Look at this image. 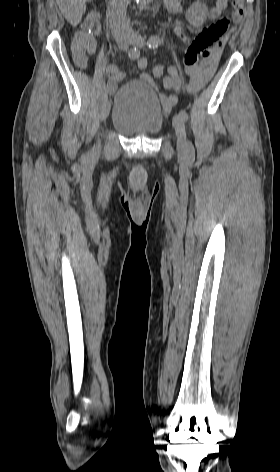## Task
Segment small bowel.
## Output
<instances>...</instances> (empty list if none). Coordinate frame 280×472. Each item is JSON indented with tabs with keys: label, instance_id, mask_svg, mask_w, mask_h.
Returning a JSON list of instances; mask_svg holds the SVG:
<instances>
[{
	"label": "small bowel",
	"instance_id": "obj_1",
	"mask_svg": "<svg viewBox=\"0 0 280 472\" xmlns=\"http://www.w3.org/2000/svg\"><path fill=\"white\" fill-rule=\"evenodd\" d=\"M165 9L173 14H183L184 10L181 6L179 0H164ZM228 0H216L215 6L209 11V19L215 20L218 19L222 12L227 8ZM93 18H89L87 22L92 21ZM174 32L183 39L187 44H189L193 37L191 34L197 33L200 31L199 28L186 25L182 22H176L173 26ZM224 43L228 40V35L224 38ZM222 47H219L215 50V52L208 58L202 59L198 64L194 66H185L186 74L189 77V83L187 86V91L189 93H195L200 91L203 87H205L208 82L214 76ZM96 51V41L95 39L82 31H77L73 37L72 41V52L74 59H82V67H84L87 63L88 56L94 54ZM137 67L140 71V78L144 81H147L151 84H154L153 78L145 72L147 67V59L145 57H140L136 60ZM123 78V74L118 71V73L114 74L109 83H108V90L110 92L115 91L117 88V83L121 81ZM164 87L166 89H171V81L170 78L167 76L163 80ZM160 101L164 108V110L168 113L171 109L177 104L178 99L175 95H167V94H160Z\"/></svg>",
	"mask_w": 280,
	"mask_h": 472
}]
</instances>
